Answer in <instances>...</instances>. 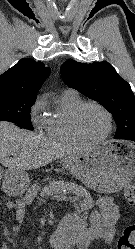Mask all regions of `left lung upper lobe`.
<instances>
[{
    "mask_svg": "<svg viewBox=\"0 0 135 249\" xmlns=\"http://www.w3.org/2000/svg\"><path fill=\"white\" fill-rule=\"evenodd\" d=\"M61 75L67 86L100 102L113 115L116 139L135 137V96L129 83L108 62L68 60L61 66Z\"/></svg>",
    "mask_w": 135,
    "mask_h": 249,
    "instance_id": "5c2ea615",
    "label": "left lung upper lobe"
}]
</instances>
